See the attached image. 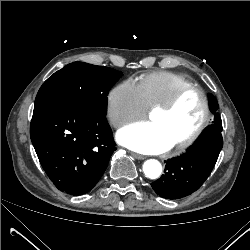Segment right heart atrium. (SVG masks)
<instances>
[{"instance_id": "1", "label": "right heart atrium", "mask_w": 250, "mask_h": 250, "mask_svg": "<svg viewBox=\"0 0 250 250\" xmlns=\"http://www.w3.org/2000/svg\"><path fill=\"white\" fill-rule=\"evenodd\" d=\"M106 111L109 122L116 129L141 117L145 105L136 84L126 80L111 88L106 98Z\"/></svg>"}]
</instances>
